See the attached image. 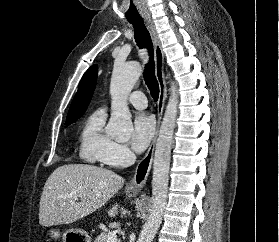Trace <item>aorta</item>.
Masks as SVG:
<instances>
[{
    "label": "aorta",
    "instance_id": "1",
    "mask_svg": "<svg viewBox=\"0 0 279 242\" xmlns=\"http://www.w3.org/2000/svg\"><path fill=\"white\" fill-rule=\"evenodd\" d=\"M141 71V65L134 61L123 64L117 63L114 66L110 84L112 113L106 127V133L117 141L124 142L129 140L133 132L127 97L139 79ZM177 105V88L172 83L171 96L160 127L154 153L152 207L137 242H152L162 222L167 203L171 149Z\"/></svg>",
    "mask_w": 279,
    "mask_h": 242
}]
</instances>
